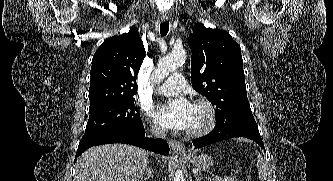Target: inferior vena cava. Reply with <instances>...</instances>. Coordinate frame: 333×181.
I'll list each match as a JSON object with an SVG mask.
<instances>
[{"label": "inferior vena cava", "mask_w": 333, "mask_h": 181, "mask_svg": "<svg viewBox=\"0 0 333 181\" xmlns=\"http://www.w3.org/2000/svg\"><path fill=\"white\" fill-rule=\"evenodd\" d=\"M151 133L155 138H165L166 137V130L164 128L154 126L151 129Z\"/></svg>", "instance_id": "1"}]
</instances>
